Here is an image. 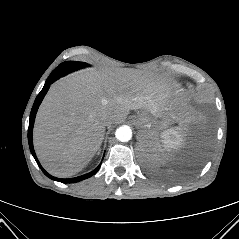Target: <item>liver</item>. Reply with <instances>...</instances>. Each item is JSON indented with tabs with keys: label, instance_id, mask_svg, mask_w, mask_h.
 <instances>
[{
	"label": "liver",
	"instance_id": "obj_1",
	"mask_svg": "<svg viewBox=\"0 0 239 239\" xmlns=\"http://www.w3.org/2000/svg\"><path fill=\"white\" fill-rule=\"evenodd\" d=\"M138 109L153 116L174 113L180 124L192 119L173 84L140 70H87L55 82L39 107L33 132L42 166L57 177L75 175L99 149L106 118L121 123Z\"/></svg>",
	"mask_w": 239,
	"mask_h": 239
}]
</instances>
